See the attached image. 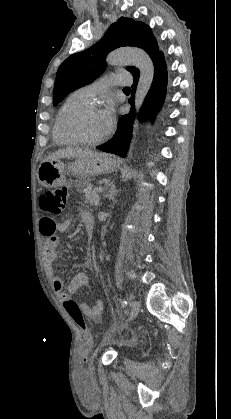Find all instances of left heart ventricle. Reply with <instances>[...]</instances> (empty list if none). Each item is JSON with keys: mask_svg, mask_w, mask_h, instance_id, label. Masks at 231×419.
Listing matches in <instances>:
<instances>
[{"mask_svg": "<svg viewBox=\"0 0 231 419\" xmlns=\"http://www.w3.org/2000/svg\"><path fill=\"white\" fill-rule=\"evenodd\" d=\"M74 128L84 137L93 139L102 136L108 130L101 111L94 109L82 114L74 123Z\"/></svg>", "mask_w": 231, "mask_h": 419, "instance_id": "left-heart-ventricle-1", "label": "left heart ventricle"}]
</instances>
